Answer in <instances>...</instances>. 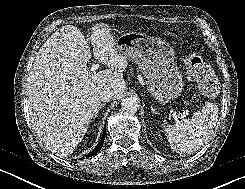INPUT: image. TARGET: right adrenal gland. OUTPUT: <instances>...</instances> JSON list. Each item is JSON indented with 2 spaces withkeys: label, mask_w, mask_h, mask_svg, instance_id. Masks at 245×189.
Wrapping results in <instances>:
<instances>
[{
  "label": "right adrenal gland",
  "mask_w": 245,
  "mask_h": 189,
  "mask_svg": "<svg viewBox=\"0 0 245 189\" xmlns=\"http://www.w3.org/2000/svg\"><path fill=\"white\" fill-rule=\"evenodd\" d=\"M105 105H106V103H103V104H101V105L99 106V108H98L97 112L95 113L93 119H95V118L97 117V114L99 113L100 109H101L102 107H104Z\"/></svg>",
  "instance_id": "2a0ac1e0"
}]
</instances>
